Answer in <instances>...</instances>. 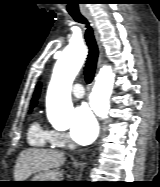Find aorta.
Returning a JSON list of instances; mask_svg holds the SVG:
<instances>
[{"mask_svg":"<svg viewBox=\"0 0 160 187\" xmlns=\"http://www.w3.org/2000/svg\"><path fill=\"white\" fill-rule=\"evenodd\" d=\"M86 50L81 43L69 44L57 60L48 87L46 105L48 117L54 121L72 110L71 89L75 77L85 60ZM115 74L111 66L100 69L93 91L90 105L101 118L109 112V99L113 91Z\"/></svg>","mask_w":160,"mask_h":187,"instance_id":"762f6f07","label":"aorta"}]
</instances>
